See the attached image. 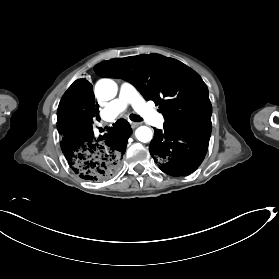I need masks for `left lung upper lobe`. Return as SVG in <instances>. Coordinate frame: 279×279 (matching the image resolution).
Here are the masks:
<instances>
[{"label":"left lung upper lobe","instance_id":"obj_1","mask_svg":"<svg viewBox=\"0 0 279 279\" xmlns=\"http://www.w3.org/2000/svg\"><path fill=\"white\" fill-rule=\"evenodd\" d=\"M97 75L133 84L159 105L164 127L211 131L212 106L201 77L178 60L159 54L115 58L94 67Z\"/></svg>","mask_w":279,"mask_h":279}]
</instances>
